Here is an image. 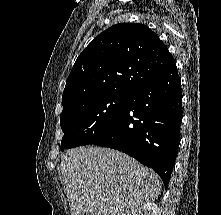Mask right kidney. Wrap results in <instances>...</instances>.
<instances>
[{
  "mask_svg": "<svg viewBox=\"0 0 221 215\" xmlns=\"http://www.w3.org/2000/svg\"><path fill=\"white\" fill-rule=\"evenodd\" d=\"M157 211V204L150 202L133 210L129 215H157Z\"/></svg>",
  "mask_w": 221,
  "mask_h": 215,
  "instance_id": "1",
  "label": "right kidney"
}]
</instances>
